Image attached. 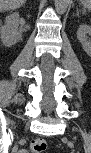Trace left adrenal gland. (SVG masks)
<instances>
[{"mask_svg": "<svg viewBox=\"0 0 91 153\" xmlns=\"http://www.w3.org/2000/svg\"><path fill=\"white\" fill-rule=\"evenodd\" d=\"M76 15L79 17V11H78V9H77Z\"/></svg>", "mask_w": 91, "mask_h": 153, "instance_id": "obj_1", "label": "left adrenal gland"}]
</instances>
